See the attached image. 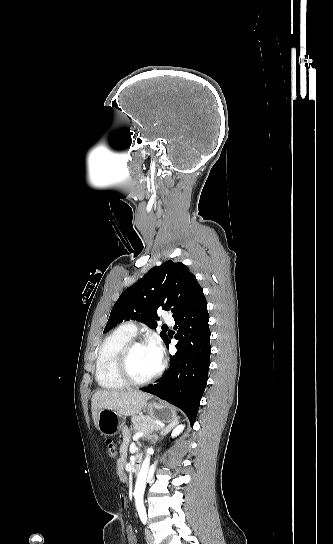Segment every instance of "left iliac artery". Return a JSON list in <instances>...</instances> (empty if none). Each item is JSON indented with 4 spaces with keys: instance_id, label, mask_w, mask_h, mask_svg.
Wrapping results in <instances>:
<instances>
[{
    "instance_id": "left-iliac-artery-1",
    "label": "left iliac artery",
    "mask_w": 333,
    "mask_h": 544,
    "mask_svg": "<svg viewBox=\"0 0 333 544\" xmlns=\"http://www.w3.org/2000/svg\"><path fill=\"white\" fill-rule=\"evenodd\" d=\"M139 516H140V519H141L142 523L145 524L146 521H147L146 511L145 510H140L139 511Z\"/></svg>"
}]
</instances>
